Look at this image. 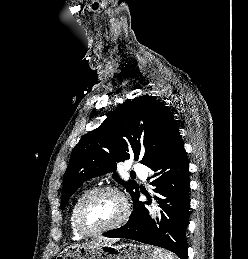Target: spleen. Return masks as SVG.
Masks as SVG:
<instances>
[{
	"instance_id": "1",
	"label": "spleen",
	"mask_w": 248,
	"mask_h": 259,
	"mask_svg": "<svg viewBox=\"0 0 248 259\" xmlns=\"http://www.w3.org/2000/svg\"><path fill=\"white\" fill-rule=\"evenodd\" d=\"M157 253L158 259H174V256L171 253L164 251L162 249H157Z\"/></svg>"
}]
</instances>
